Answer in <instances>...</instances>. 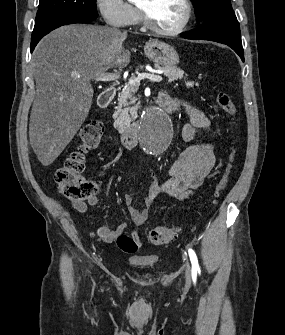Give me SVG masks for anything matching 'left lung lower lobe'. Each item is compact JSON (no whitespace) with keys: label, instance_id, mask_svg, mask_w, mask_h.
<instances>
[{"label":"left lung lower lobe","instance_id":"0a47b994","mask_svg":"<svg viewBox=\"0 0 285 335\" xmlns=\"http://www.w3.org/2000/svg\"><path fill=\"white\" fill-rule=\"evenodd\" d=\"M184 38L210 40L230 46L244 61L240 27L235 14H217L201 22V25Z\"/></svg>","mask_w":285,"mask_h":335}]
</instances>
